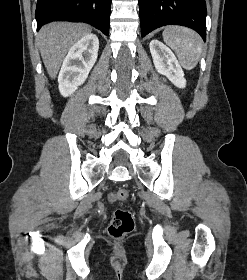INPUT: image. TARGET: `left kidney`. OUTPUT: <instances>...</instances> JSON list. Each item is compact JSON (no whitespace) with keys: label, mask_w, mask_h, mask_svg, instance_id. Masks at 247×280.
Listing matches in <instances>:
<instances>
[{"label":"left kidney","mask_w":247,"mask_h":280,"mask_svg":"<svg viewBox=\"0 0 247 280\" xmlns=\"http://www.w3.org/2000/svg\"><path fill=\"white\" fill-rule=\"evenodd\" d=\"M149 47L157 72L167 77L176 87L185 88L184 72L174 53L156 39L150 42Z\"/></svg>","instance_id":"1"}]
</instances>
